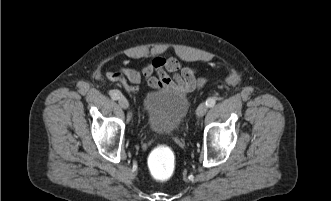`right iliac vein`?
Here are the masks:
<instances>
[{
    "label": "right iliac vein",
    "mask_w": 331,
    "mask_h": 201,
    "mask_svg": "<svg viewBox=\"0 0 331 201\" xmlns=\"http://www.w3.org/2000/svg\"><path fill=\"white\" fill-rule=\"evenodd\" d=\"M118 103H119V105H120L123 109H128V107H129V102H128V100H127L125 97H123V96H121V97L119 98Z\"/></svg>",
    "instance_id": "63e3f726"
}]
</instances>
